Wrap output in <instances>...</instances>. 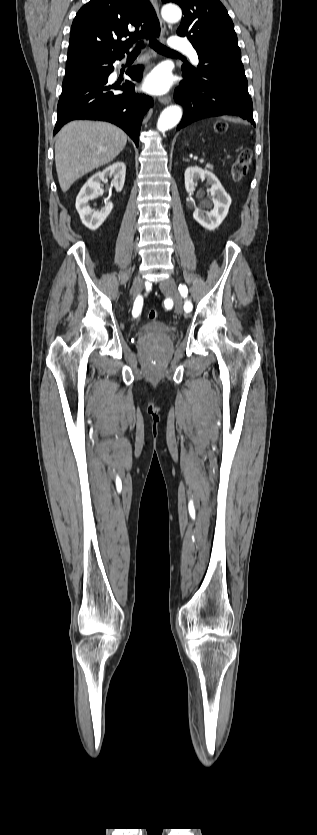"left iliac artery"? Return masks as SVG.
<instances>
[{
  "mask_svg": "<svg viewBox=\"0 0 317 835\" xmlns=\"http://www.w3.org/2000/svg\"><path fill=\"white\" fill-rule=\"evenodd\" d=\"M178 290H179V292H180V294L182 295L183 298L187 297L188 288H187L186 285L180 284L179 287H178ZM192 307H193L192 303L189 300L186 299L185 304H184V310L186 312H190L192 310Z\"/></svg>",
  "mask_w": 317,
  "mask_h": 835,
  "instance_id": "1",
  "label": "left iliac artery"
}]
</instances>
